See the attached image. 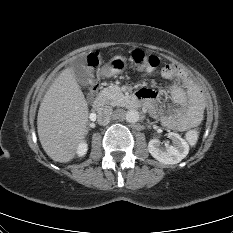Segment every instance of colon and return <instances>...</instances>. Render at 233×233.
<instances>
[{
    "instance_id": "1",
    "label": "colon",
    "mask_w": 233,
    "mask_h": 233,
    "mask_svg": "<svg viewBox=\"0 0 233 233\" xmlns=\"http://www.w3.org/2000/svg\"><path fill=\"white\" fill-rule=\"evenodd\" d=\"M132 60L134 61L135 65L143 71L151 72L157 69L160 65V60L157 56L150 54L144 50L136 49L132 52ZM90 62L96 64L97 57L95 55H91L89 58ZM101 82L98 77H93L91 82V90L90 93L93 94L94 92L100 89ZM186 140L190 145H193L198 140V132L196 130H190L186 134Z\"/></svg>"
}]
</instances>
